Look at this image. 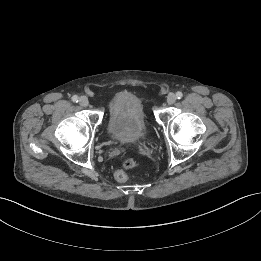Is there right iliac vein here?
<instances>
[{
  "instance_id": "obj_1",
  "label": "right iliac vein",
  "mask_w": 261,
  "mask_h": 261,
  "mask_svg": "<svg viewBox=\"0 0 261 261\" xmlns=\"http://www.w3.org/2000/svg\"><path fill=\"white\" fill-rule=\"evenodd\" d=\"M79 104L83 107L88 106L89 101H88L87 97H85V96L81 97L80 100H79Z\"/></svg>"
}]
</instances>
